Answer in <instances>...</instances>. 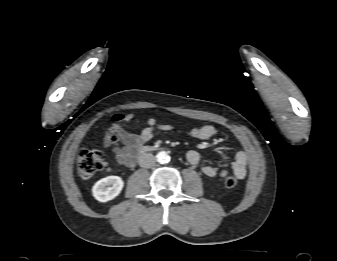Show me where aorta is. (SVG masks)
<instances>
[{
    "mask_svg": "<svg viewBox=\"0 0 337 261\" xmlns=\"http://www.w3.org/2000/svg\"><path fill=\"white\" fill-rule=\"evenodd\" d=\"M157 162L160 164L167 163L170 160L169 155L165 151H160L156 156Z\"/></svg>",
    "mask_w": 337,
    "mask_h": 261,
    "instance_id": "obj_1",
    "label": "aorta"
}]
</instances>
